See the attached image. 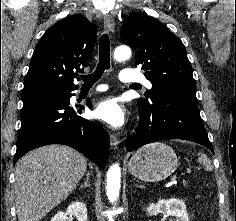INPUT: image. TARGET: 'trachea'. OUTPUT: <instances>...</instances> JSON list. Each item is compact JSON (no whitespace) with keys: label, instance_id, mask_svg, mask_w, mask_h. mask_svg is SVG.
Returning <instances> with one entry per match:
<instances>
[{"label":"trachea","instance_id":"obj_1","mask_svg":"<svg viewBox=\"0 0 236 221\" xmlns=\"http://www.w3.org/2000/svg\"><path fill=\"white\" fill-rule=\"evenodd\" d=\"M110 68V41L107 34H103L99 40V63L92 74L82 75L83 86H92L98 81L105 70Z\"/></svg>","mask_w":236,"mask_h":221}]
</instances>
